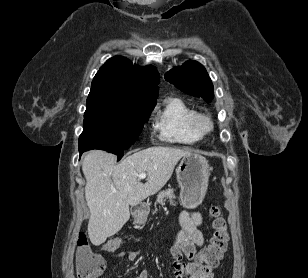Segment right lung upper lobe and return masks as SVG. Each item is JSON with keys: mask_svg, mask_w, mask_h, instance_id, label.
I'll return each mask as SVG.
<instances>
[{"mask_svg": "<svg viewBox=\"0 0 308 278\" xmlns=\"http://www.w3.org/2000/svg\"><path fill=\"white\" fill-rule=\"evenodd\" d=\"M159 75L122 56L109 59L95 75L84 117L134 113L156 102Z\"/></svg>", "mask_w": 308, "mask_h": 278, "instance_id": "1", "label": "right lung upper lobe"}]
</instances>
